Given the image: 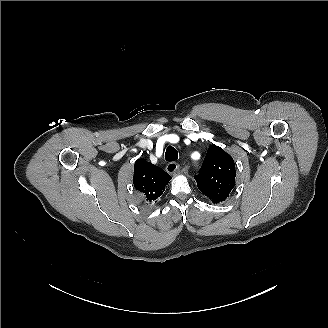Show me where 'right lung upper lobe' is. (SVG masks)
<instances>
[{"instance_id": "obj_1", "label": "right lung upper lobe", "mask_w": 328, "mask_h": 328, "mask_svg": "<svg viewBox=\"0 0 328 328\" xmlns=\"http://www.w3.org/2000/svg\"><path fill=\"white\" fill-rule=\"evenodd\" d=\"M170 179L168 173L144 159L135 162L134 187L144 195L146 202H154L158 199Z\"/></svg>"}]
</instances>
